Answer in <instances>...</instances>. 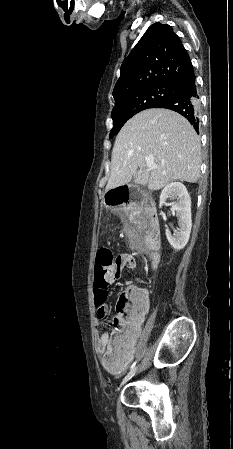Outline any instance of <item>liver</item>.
Segmentation results:
<instances>
[{
	"instance_id": "1",
	"label": "liver",
	"mask_w": 233,
	"mask_h": 449,
	"mask_svg": "<svg viewBox=\"0 0 233 449\" xmlns=\"http://www.w3.org/2000/svg\"><path fill=\"white\" fill-rule=\"evenodd\" d=\"M157 166L149 169L146 161ZM201 144L194 128L168 109L144 110L122 127L114 143L106 191L135 183L159 190L176 180L195 183L200 177Z\"/></svg>"
}]
</instances>
